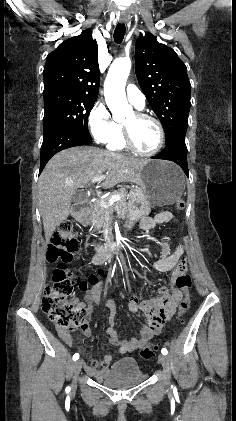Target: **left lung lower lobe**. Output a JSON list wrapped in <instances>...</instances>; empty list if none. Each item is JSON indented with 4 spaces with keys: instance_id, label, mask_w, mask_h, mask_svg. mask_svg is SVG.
I'll list each match as a JSON object with an SVG mask.
<instances>
[{
    "instance_id": "0a47b994",
    "label": "left lung lower lobe",
    "mask_w": 236,
    "mask_h": 421,
    "mask_svg": "<svg viewBox=\"0 0 236 421\" xmlns=\"http://www.w3.org/2000/svg\"><path fill=\"white\" fill-rule=\"evenodd\" d=\"M152 158L175 162L183 169L187 177H189L185 134L179 133L170 137L166 142V148Z\"/></svg>"
}]
</instances>
